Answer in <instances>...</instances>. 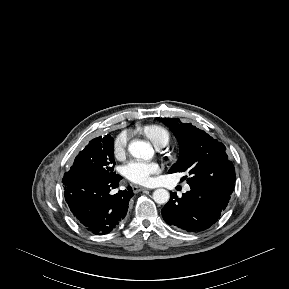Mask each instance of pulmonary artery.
<instances>
[{
  "label": "pulmonary artery",
  "mask_w": 289,
  "mask_h": 289,
  "mask_svg": "<svg viewBox=\"0 0 289 289\" xmlns=\"http://www.w3.org/2000/svg\"><path fill=\"white\" fill-rule=\"evenodd\" d=\"M165 145L164 144H159V145H157L156 146V148L157 149H161V148H163ZM190 189V187L188 186V185H186L185 187H184V190L185 191H188Z\"/></svg>",
  "instance_id": "e3ab8cb5"
}]
</instances>
